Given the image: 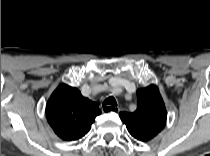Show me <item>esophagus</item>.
<instances>
[{"mask_svg": "<svg viewBox=\"0 0 210 156\" xmlns=\"http://www.w3.org/2000/svg\"><path fill=\"white\" fill-rule=\"evenodd\" d=\"M115 107H112L110 105H105L102 107V111L105 113H109V112H113ZM117 110L119 111V108H117Z\"/></svg>", "mask_w": 210, "mask_h": 156, "instance_id": "obj_1", "label": "esophagus"}]
</instances>
